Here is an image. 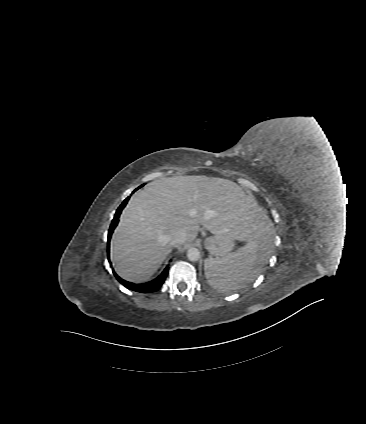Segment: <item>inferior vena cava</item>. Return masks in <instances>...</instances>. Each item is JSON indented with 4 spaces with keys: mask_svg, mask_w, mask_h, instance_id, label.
Segmentation results:
<instances>
[{
    "mask_svg": "<svg viewBox=\"0 0 366 424\" xmlns=\"http://www.w3.org/2000/svg\"><path fill=\"white\" fill-rule=\"evenodd\" d=\"M185 240H186V233L184 231H178L171 236L170 245L173 247H178L182 245Z\"/></svg>",
    "mask_w": 366,
    "mask_h": 424,
    "instance_id": "inferior-vena-cava-1",
    "label": "inferior vena cava"
}]
</instances>
